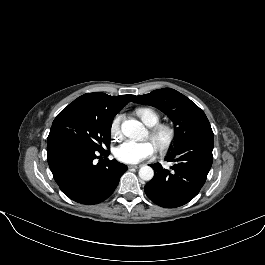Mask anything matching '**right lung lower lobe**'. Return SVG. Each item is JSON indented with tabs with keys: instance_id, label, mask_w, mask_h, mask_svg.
<instances>
[{
	"instance_id": "right-lung-lower-lobe-1",
	"label": "right lung lower lobe",
	"mask_w": 265,
	"mask_h": 265,
	"mask_svg": "<svg viewBox=\"0 0 265 265\" xmlns=\"http://www.w3.org/2000/svg\"><path fill=\"white\" fill-rule=\"evenodd\" d=\"M107 150H95L71 140L47 143V160L61 191L82 204H97L108 198L117 187L127 166L110 161ZM104 160L95 164V159Z\"/></svg>"
}]
</instances>
